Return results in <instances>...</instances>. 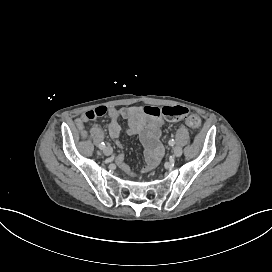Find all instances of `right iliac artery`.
I'll use <instances>...</instances> for the list:
<instances>
[{
  "label": "right iliac artery",
  "instance_id": "obj_1",
  "mask_svg": "<svg viewBox=\"0 0 272 272\" xmlns=\"http://www.w3.org/2000/svg\"><path fill=\"white\" fill-rule=\"evenodd\" d=\"M99 148H100V149H104V148H105V143H104V142L100 143V144H99Z\"/></svg>",
  "mask_w": 272,
  "mask_h": 272
}]
</instances>
